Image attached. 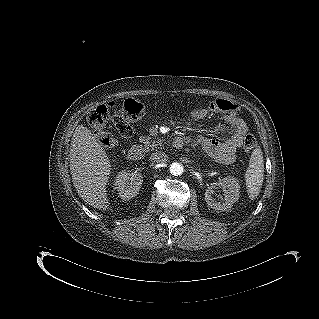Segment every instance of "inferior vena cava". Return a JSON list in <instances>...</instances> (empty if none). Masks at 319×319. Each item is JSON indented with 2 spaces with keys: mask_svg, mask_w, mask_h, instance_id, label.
<instances>
[{
  "mask_svg": "<svg viewBox=\"0 0 319 319\" xmlns=\"http://www.w3.org/2000/svg\"><path fill=\"white\" fill-rule=\"evenodd\" d=\"M167 159H168V156L164 152L157 151L151 155V160L157 164L165 162L167 161Z\"/></svg>",
  "mask_w": 319,
  "mask_h": 319,
  "instance_id": "obj_1",
  "label": "inferior vena cava"
}]
</instances>
